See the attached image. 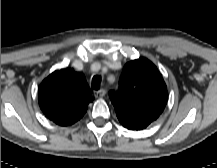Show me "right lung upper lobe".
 Wrapping results in <instances>:
<instances>
[{
	"label": "right lung upper lobe",
	"instance_id": "right-lung-upper-lobe-1",
	"mask_svg": "<svg viewBox=\"0 0 217 168\" xmlns=\"http://www.w3.org/2000/svg\"><path fill=\"white\" fill-rule=\"evenodd\" d=\"M38 99L46 117L60 126H69L81 119L93 101L83 75L71 68L56 70L44 79Z\"/></svg>",
	"mask_w": 217,
	"mask_h": 168
}]
</instances>
